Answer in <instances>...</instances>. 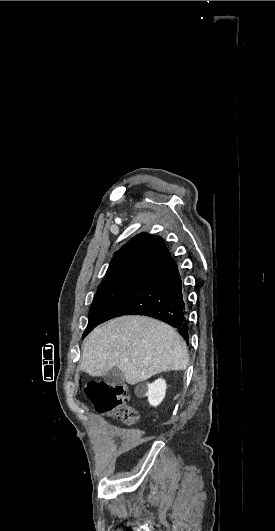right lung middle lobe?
<instances>
[{"instance_id": "right-lung-middle-lobe-1", "label": "right lung middle lobe", "mask_w": 275, "mask_h": 531, "mask_svg": "<svg viewBox=\"0 0 275 531\" xmlns=\"http://www.w3.org/2000/svg\"><path fill=\"white\" fill-rule=\"evenodd\" d=\"M144 270L134 268L105 276L90 307L89 322L82 338L102 322L108 309L136 282Z\"/></svg>"}]
</instances>
